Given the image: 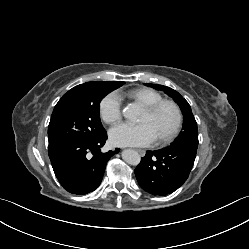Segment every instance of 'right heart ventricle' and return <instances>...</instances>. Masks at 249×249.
Wrapping results in <instances>:
<instances>
[{
	"instance_id": "1",
	"label": "right heart ventricle",
	"mask_w": 249,
	"mask_h": 249,
	"mask_svg": "<svg viewBox=\"0 0 249 249\" xmlns=\"http://www.w3.org/2000/svg\"><path fill=\"white\" fill-rule=\"evenodd\" d=\"M129 99L133 100L134 102L146 106L153 104L155 102L163 100V96L150 88H136L129 90L125 94Z\"/></svg>"
}]
</instances>
